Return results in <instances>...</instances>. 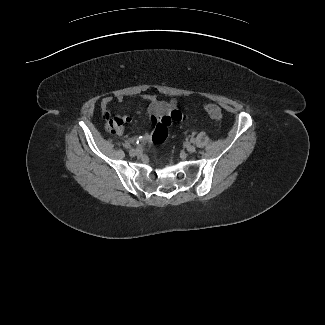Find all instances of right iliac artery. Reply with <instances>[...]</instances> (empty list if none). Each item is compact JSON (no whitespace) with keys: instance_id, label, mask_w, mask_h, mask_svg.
<instances>
[{"instance_id":"right-iliac-artery-1","label":"right iliac artery","mask_w":325,"mask_h":325,"mask_svg":"<svg viewBox=\"0 0 325 325\" xmlns=\"http://www.w3.org/2000/svg\"><path fill=\"white\" fill-rule=\"evenodd\" d=\"M125 148H129L131 145H130V143L129 142H126V143H124V145H123Z\"/></svg>"}]
</instances>
